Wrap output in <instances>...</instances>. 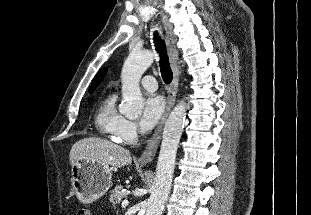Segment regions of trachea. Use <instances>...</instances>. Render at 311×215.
Segmentation results:
<instances>
[{
  "mask_svg": "<svg viewBox=\"0 0 311 215\" xmlns=\"http://www.w3.org/2000/svg\"><path fill=\"white\" fill-rule=\"evenodd\" d=\"M153 41L155 44V49L160 56L159 64L162 79L166 84H169L172 81L173 73L169 64V58L166 52V45L157 31H155L154 33Z\"/></svg>",
  "mask_w": 311,
  "mask_h": 215,
  "instance_id": "trachea-1",
  "label": "trachea"
}]
</instances>
